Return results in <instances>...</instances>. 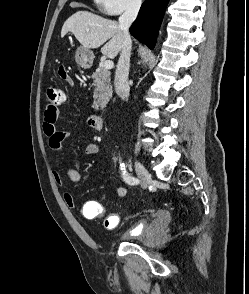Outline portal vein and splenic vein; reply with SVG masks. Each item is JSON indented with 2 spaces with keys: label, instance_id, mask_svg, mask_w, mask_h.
Here are the masks:
<instances>
[{
  "label": "portal vein and splenic vein",
  "instance_id": "portal-vein-and-splenic-vein-1",
  "mask_svg": "<svg viewBox=\"0 0 249 294\" xmlns=\"http://www.w3.org/2000/svg\"><path fill=\"white\" fill-rule=\"evenodd\" d=\"M113 65H114V63H113V61H111V60H106L105 62H104V67L106 68V69H111V68H113Z\"/></svg>",
  "mask_w": 249,
  "mask_h": 294
}]
</instances>
